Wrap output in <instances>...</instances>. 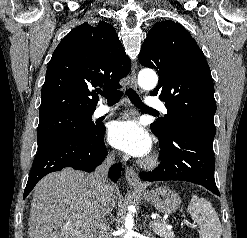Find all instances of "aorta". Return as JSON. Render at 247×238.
Masks as SVG:
<instances>
[{
  "mask_svg": "<svg viewBox=\"0 0 247 238\" xmlns=\"http://www.w3.org/2000/svg\"><path fill=\"white\" fill-rule=\"evenodd\" d=\"M158 82V77L156 73L150 69H143L139 72L138 75V83L145 90H152L156 87ZM134 207H128L129 214L125 219V234L124 238H133V225L134 219L132 218L131 211H133Z\"/></svg>",
  "mask_w": 247,
  "mask_h": 238,
  "instance_id": "aorta-1",
  "label": "aorta"
}]
</instances>
